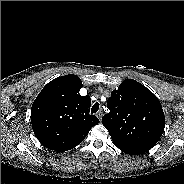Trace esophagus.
Wrapping results in <instances>:
<instances>
[{
  "mask_svg": "<svg viewBox=\"0 0 184 184\" xmlns=\"http://www.w3.org/2000/svg\"><path fill=\"white\" fill-rule=\"evenodd\" d=\"M102 116H103V111L100 110L98 113H97V117L99 118V120L102 119Z\"/></svg>",
  "mask_w": 184,
  "mask_h": 184,
  "instance_id": "obj_1",
  "label": "esophagus"
}]
</instances>
